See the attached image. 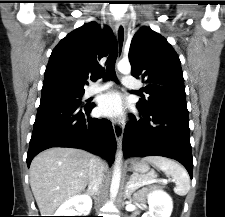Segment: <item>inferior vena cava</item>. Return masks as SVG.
Returning a JSON list of instances; mask_svg holds the SVG:
<instances>
[{"label":"inferior vena cava","instance_id":"602c4592","mask_svg":"<svg viewBox=\"0 0 225 217\" xmlns=\"http://www.w3.org/2000/svg\"><path fill=\"white\" fill-rule=\"evenodd\" d=\"M103 176V162L99 158L93 157L91 159V169L88 182V191L90 195H96L99 192V188L103 181Z\"/></svg>","mask_w":225,"mask_h":217}]
</instances>
